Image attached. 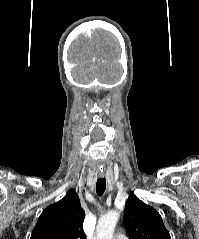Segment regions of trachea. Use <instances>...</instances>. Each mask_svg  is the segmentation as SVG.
Returning a JSON list of instances; mask_svg holds the SVG:
<instances>
[{
	"instance_id": "obj_1",
	"label": "trachea",
	"mask_w": 199,
	"mask_h": 239,
	"mask_svg": "<svg viewBox=\"0 0 199 239\" xmlns=\"http://www.w3.org/2000/svg\"><path fill=\"white\" fill-rule=\"evenodd\" d=\"M106 189V180L105 178H99L96 182V192L99 196L103 195Z\"/></svg>"
}]
</instances>
